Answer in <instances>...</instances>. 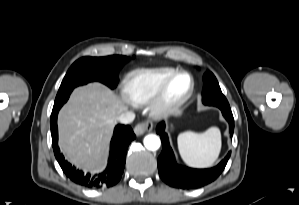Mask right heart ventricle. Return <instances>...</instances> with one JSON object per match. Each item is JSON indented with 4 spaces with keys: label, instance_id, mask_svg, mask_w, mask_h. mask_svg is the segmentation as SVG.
Masks as SVG:
<instances>
[{
    "label": "right heart ventricle",
    "instance_id": "right-heart-ventricle-1",
    "mask_svg": "<svg viewBox=\"0 0 299 205\" xmlns=\"http://www.w3.org/2000/svg\"><path fill=\"white\" fill-rule=\"evenodd\" d=\"M176 72L174 68H141L131 71L122 83V96L134 106L150 102L160 86Z\"/></svg>",
    "mask_w": 299,
    "mask_h": 205
}]
</instances>
